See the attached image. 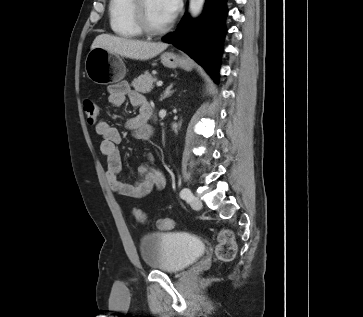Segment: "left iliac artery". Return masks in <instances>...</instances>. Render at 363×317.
<instances>
[{"label":"left iliac artery","mask_w":363,"mask_h":317,"mask_svg":"<svg viewBox=\"0 0 363 317\" xmlns=\"http://www.w3.org/2000/svg\"><path fill=\"white\" fill-rule=\"evenodd\" d=\"M192 196V193L189 188H184L180 192V197L186 200H189Z\"/></svg>","instance_id":"1"}]
</instances>
